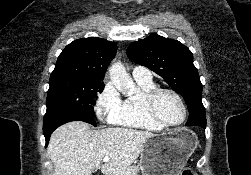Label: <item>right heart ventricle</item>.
<instances>
[{
  "instance_id": "1",
  "label": "right heart ventricle",
  "mask_w": 251,
  "mask_h": 175,
  "mask_svg": "<svg viewBox=\"0 0 251 175\" xmlns=\"http://www.w3.org/2000/svg\"><path fill=\"white\" fill-rule=\"evenodd\" d=\"M137 85L139 95L136 97H129L123 102L122 112L116 123L125 127L137 128L144 131H162L163 128L148 117L142 105L143 95L154 89L156 86L153 82H137Z\"/></svg>"
}]
</instances>
